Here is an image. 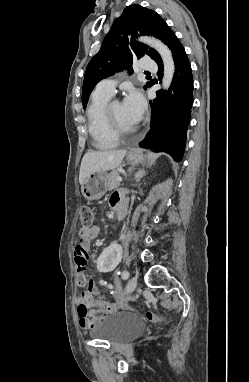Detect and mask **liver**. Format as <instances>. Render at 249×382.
I'll return each mask as SVG.
<instances>
[{"mask_svg":"<svg viewBox=\"0 0 249 382\" xmlns=\"http://www.w3.org/2000/svg\"><path fill=\"white\" fill-rule=\"evenodd\" d=\"M126 150L88 151L82 158L79 183L82 185L88 175L98 171H107L119 167Z\"/></svg>","mask_w":249,"mask_h":382,"instance_id":"obj_1","label":"liver"}]
</instances>
